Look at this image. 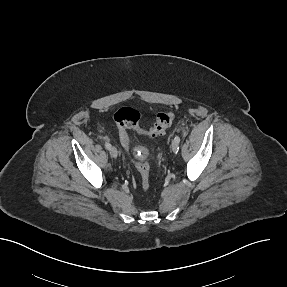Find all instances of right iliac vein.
Segmentation results:
<instances>
[{"label": "right iliac vein", "instance_id": "63e3f726", "mask_svg": "<svg viewBox=\"0 0 287 287\" xmlns=\"http://www.w3.org/2000/svg\"><path fill=\"white\" fill-rule=\"evenodd\" d=\"M109 153H110L112 158H117V156H118V151L115 147H111L109 149Z\"/></svg>", "mask_w": 287, "mask_h": 287}]
</instances>
